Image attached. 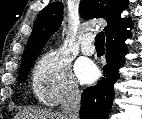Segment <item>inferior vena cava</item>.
<instances>
[{
	"instance_id": "obj_1",
	"label": "inferior vena cava",
	"mask_w": 142,
	"mask_h": 119,
	"mask_svg": "<svg viewBox=\"0 0 142 119\" xmlns=\"http://www.w3.org/2000/svg\"><path fill=\"white\" fill-rule=\"evenodd\" d=\"M80 92L77 86H69L64 100L61 102L63 119H79Z\"/></svg>"
}]
</instances>
